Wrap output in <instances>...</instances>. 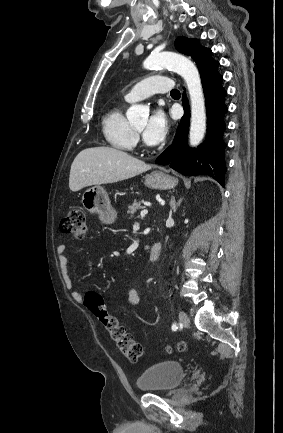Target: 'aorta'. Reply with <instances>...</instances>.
<instances>
[{"instance_id": "1", "label": "aorta", "mask_w": 283, "mask_h": 433, "mask_svg": "<svg viewBox=\"0 0 283 433\" xmlns=\"http://www.w3.org/2000/svg\"><path fill=\"white\" fill-rule=\"evenodd\" d=\"M146 69L170 68L185 81L190 96L191 118L189 143L192 147L200 144L206 132L205 99L201 79L196 66L186 57L172 52L152 53L143 63ZM149 109L132 105L127 113L131 122L146 119Z\"/></svg>"}]
</instances>
